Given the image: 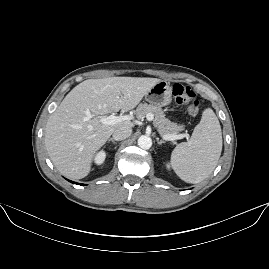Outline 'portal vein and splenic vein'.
I'll return each mask as SVG.
<instances>
[{
    "mask_svg": "<svg viewBox=\"0 0 269 269\" xmlns=\"http://www.w3.org/2000/svg\"><path fill=\"white\" fill-rule=\"evenodd\" d=\"M146 118H147L148 121H153V119H154L152 113H148L146 115ZM126 119H128V117L126 115L120 117V116H116V115L112 114V115H109L107 118H105L103 120V123L107 124V125H111V124H116L117 122L122 121V120H126ZM184 137H187V136H184ZM161 138L164 141H175L177 139L182 138V136H177V135H174V134H164V135L161 136Z\"/></svg>",
    "mask_w": 269,
    "mask_h": 269,
    "instance_id": "portal-vein-and-splenic-vein-1",
    "label": "portal vein and splenic vein"
}]
</instances>
